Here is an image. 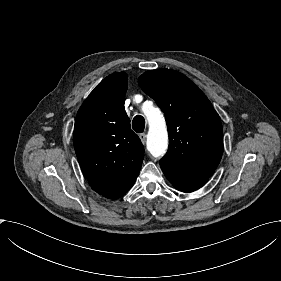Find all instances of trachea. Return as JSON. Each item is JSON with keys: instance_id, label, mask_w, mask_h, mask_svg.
I'll list each match as a JSON object with an SVG mask.
<instances>
[{"instance_id": "obj_1", "label": "trachea", "mask_w": 281, "mask_h": 281, "mask_svg": "<svg viewBox=\"0 0 281 281\" xmlns=\"http://www.w3.org/2000/svg\"><path fill=\"white\" fill-rule=\"evenodd\" d=\"M132 126L135 132L142 133L145 128V119L141 115H137L133 118Z\"/></svg>"}]
</instances>
